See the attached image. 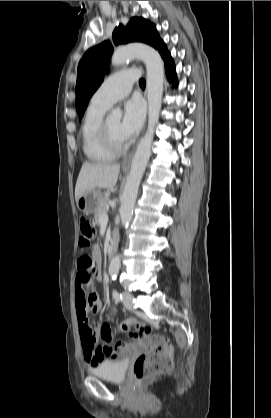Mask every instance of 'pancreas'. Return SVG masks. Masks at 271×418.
Instances as JSON below:
<instances>
[{"mask_svg":"<svg viewBox=\"0 0 271 418\" xmlns=\"http://www.w3.org/2000/svg\"><path fill=\"white\" fill-rule=\"evenodd\" d=\"M108 199H109V192H106L103 195V197H102V199H101V201H100V203H99V205H98V207L95 211V222L98 225L100 224L101 216L107 212Z\"/></svg>","mask_w":271,"mask_h":418,"instance_id":"obj_1","label":"pancreas"}]
</instances>
